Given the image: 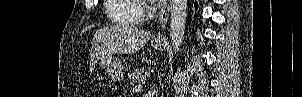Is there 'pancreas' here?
I'll list each match as a JSON object with an SVG mask.
<instances>
[{
    "instance_id": "cf45deb5",
    "label": "pancreas",
    "mask_w": 302,
    "mask_h": 97,
    "mask_svg": "<svg viewBox=\"0 0 302 97\" xmlns=\"http://www.w3.org/2000/svg\"><path fill=\"white\" fill-rule=\"evenodd\" d=\"M128 79L132 83H139L145 79L144 69H135L132 73H128Z\"/></svg>"
}]
</instances>
